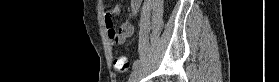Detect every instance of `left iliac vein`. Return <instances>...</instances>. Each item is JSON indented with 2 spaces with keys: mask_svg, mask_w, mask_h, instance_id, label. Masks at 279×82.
<instances>
[{
  "mask_svg": "<svg viewBox=\"0 0 279 82\" xmlns=\"http://www.w3.org/2000/svg\"><path fill=\"white\" fill-rule=\"evenodd\" d=\"M141 77V70L140 68H135L129 77V82H137Z\"/></svg>",
  "mask_w": 279,
  "mask_h": 82,
  "instance_id": "left-iliac-vein-1",
  "label": "left iliac vein"
}]
</instances>
